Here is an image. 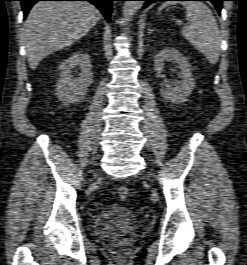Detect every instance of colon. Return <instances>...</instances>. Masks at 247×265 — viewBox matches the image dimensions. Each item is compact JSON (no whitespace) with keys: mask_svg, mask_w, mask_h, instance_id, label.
<instances>
[{"mask_svg":"<svg viewBox=\"0 0 247 265\" xmlns=\"http://www.w3.org/2000/svg\"><path fill=\"white\" fill-rule=\"evenodd\" d=\"M117 194L120 199L125 200L129 196V190L126 186H119L117 188Z\"/></svg>","mask_w":247,"mask_h":265,"instance_id":"5ec220e1","label":"colon"}]
</instances>
